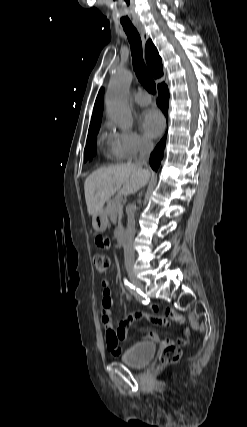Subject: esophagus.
Masks as SVG:
<instances>
[{
	"instance_id": "34e87169",
	"label": "esophagus",
	"mask_w": 247,
	"mask_h": 427,
	"mask_svg": "<svg viewBox=\"0 0 247 427\" xmlns=\"http://www.w3.org/2000/svg\"><path fill=\"white\" fill-rule=\"evenodd\" d=\"M136 28H137V30H138V32H139V34H140V36H141V39H142L143 45H145V43L147 42V40H148V38H149V36H148V34H147V32H146L145 28H144L142 25H137V26H136Z\"/></svg>"
}]
</instances>
